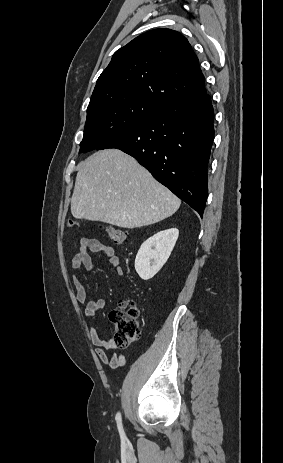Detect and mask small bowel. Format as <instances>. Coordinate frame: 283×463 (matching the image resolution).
<instances>
[{"instance_id":"1","label":"small bowel","mask_w":283,"mask_h":463,"mask_svg":"<svg viewBox=\"0 0 283 463\" xmlns=\"http://www.w3.org/2000/svg\"><path fill=\"white\" fill-rule=\"evenodd\" d=\"M89 251L103 254L106 259L94 261L91 259ZM103 266L113 268L115 273L119 276L124 274L119 257L115 254L113 247L103 244L98 239H81L79 249L71 260L72 269L79 270L84 267L87 271H93ZM72 281L76 290L77 301L85 306V315L88 318H94L96 313L106 306V300L104 298L87 300V292L83 282L76 275L72 277ZM89 337L95 347V353L98 359L103 364L111 369H117L125 365L126 359L123 354L113 353L111 356H108L106 353V350H114L117 348V345L112 338L103 339L95 326H91Z\"/></svg>"}]
</instances>
